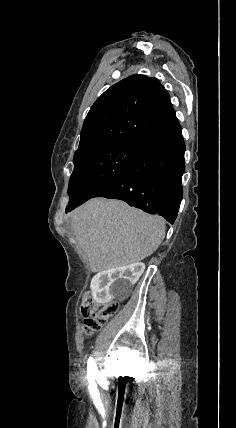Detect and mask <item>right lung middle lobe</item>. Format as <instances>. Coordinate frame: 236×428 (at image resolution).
<instances>
[{"instance_id": "1", "label": "right lung middle lobe", "mask_w": 236, "mask_h": 428, "mask_svg": "<svg viewBox=\"0 0 236 428\" xmlns=\"http://www.w3.org/2000/svg\"><path fill=\"white\" fill-rule=\"evenodd\" d=\"M139 140H126L74 163L66 211L73 209L110 185L137 154Z\"/></svg>"}]
</instances>
